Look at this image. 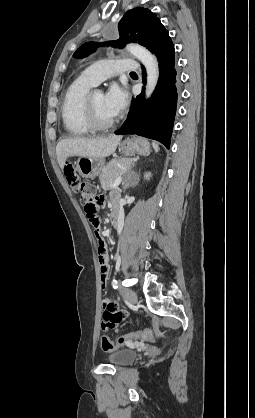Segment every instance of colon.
Listing matches in <instances>:
<instances>
[{"label":"colon","instance_id":"5ec220e1","mask_svg":"<svg viewBox=\"0 0 255 418\" xmlns=\"http://www.w3.org/2000/svg\"><path fill=\"white\" fill-rule=\"evenodd\" d=\"M65 174L72 190L79 196L91 225L95 229H98V207L101 199L94 195L93 187L88 182L80 179L71 166L68 165L66 167ZM138 338L154 341L156 340V335L151 330H143L122 335L116 341H112L109 337L103 336L101 339V348L105 352L114 351L125 345L133 344Z\"/></svg>","mask_w":255,"mask_h":418}]
</instances>
